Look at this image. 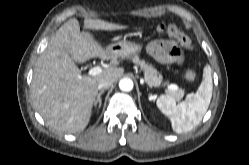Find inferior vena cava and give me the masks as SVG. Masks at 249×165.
<instances>
[{
  "label": "inferior vena cava",
  "mask_w": 249,
  "mask_h": 165,
  "mask_svg": "<svg viewBox=\"0 0 249 165\" xmlns=\"http://www.w3.org/2000/svg\"><path fill=\"white\" fill-rule=\"evenodd\" d=\"M111 85H112V81L110 79H102L98 83V89L99 90L108 89Z\"/></svg>",
  "instance_id": "1"
}]
</instances>
